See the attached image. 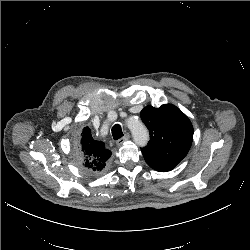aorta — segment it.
Segmentation results:
<instances>
[{
  "mask_svg": "<svg viewBox=\"0 0 250 250\" xmlns=\"http://www.w3.org/2000/svg\"><path fill=\"white\" fill-rule=\"evenodd\" d=\"M127 127L130 130L134 142L139 146H145L149 140V133L144 124L135 119L127 121Z\"/></svg>",
  "mask_w": 250,
  "mask_h": 250,
  "instance_id": "aorta-1",
  "label": "aorta"
}]
</instances>
